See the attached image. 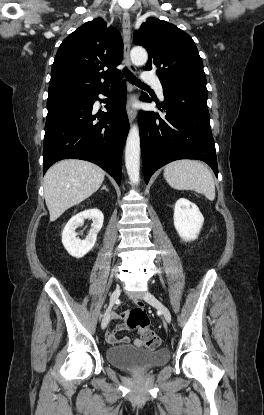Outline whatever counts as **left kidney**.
Returning a JSON list of instances; mask_svg holds the SVG:
<instances>
[{"label": "left kidney", "mask_w": 264, "mask_h": 415, "mask_svg": "<svg viewBox=\"0 0 264 415\" xmlns=\"http://www.w3.org/2000/svg\"><path fill=\"white\" fill-rule=\"evenodd\" d=\"M204 217L189 200L180 198L174 207V227L184 241L195 240L202 228Z\"/></svg>", "instance_id": "5707ae66"}]
</instances>
